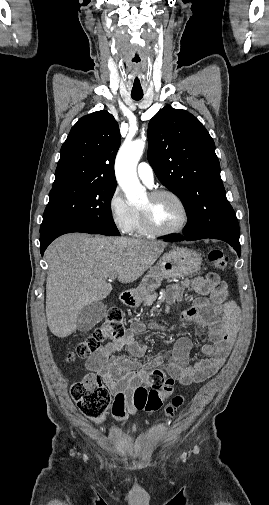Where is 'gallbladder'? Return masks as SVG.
I'll use <instances>...</instances> for the list:
<instances>
[{
  "instance_id": "gallbladder-1",
  "label": "gallbladder",
  "mask_w": 269,
  "mask_h": 505,
  "mask_svg": "<svg viewBox=\"0 0 269 505\" xmlns=\"http://www.w3.org/2000/svg\"><path fill=\"white\" fill-rule=\"evenodd\" d=\"M106 315V305L101 302H92L86 305L77 318V329L81 332L91 330Z\"/></svg>"
}]
</instances>
